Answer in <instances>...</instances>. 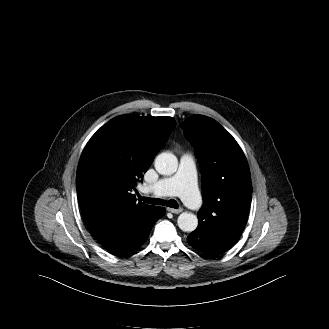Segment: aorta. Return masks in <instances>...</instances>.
Listing matches in <instances>:
<instances>
[{"instance_id":"1","label":"aorta","mask_w":329,"mask_h":329,"mask_svg":"<svg viewBox=\"0 0 329 329\" xmlns=\"http://www.w3.org/2000/svg\"><path fill=\"white\" fill-rule=\"evenodd\" d=\"M155 169L161 175H172L178 168L177 157L170 152H162L155 159ZM178 227L184 232H192L198 226V218L192 213L183 212L177 219Z\"/></svg>"}]
</instances>
